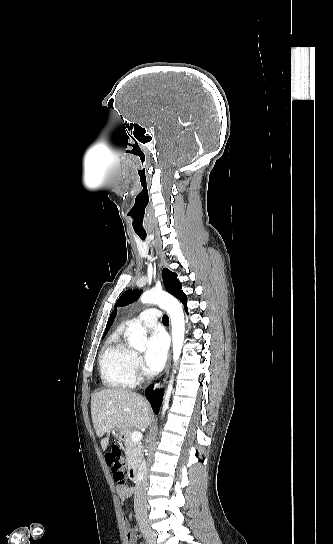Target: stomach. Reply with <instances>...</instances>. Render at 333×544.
Returning <instances> with one entry per match:
<instances>
[{"instance_id":"1","label":"stomach","mask_w":333,"mask_h":544,"mask_svg":"<svg viewBox=\"0 0 333 544\" xmlns=\"http://www.w3.org/2000/svg\"><path fill=\"white\" fill-rule=\"evenodd\" d=\"M127 430L114 428L112 429V435L119 441L123 439V437L126 435Z\"/></svg>"}]
</instances>
